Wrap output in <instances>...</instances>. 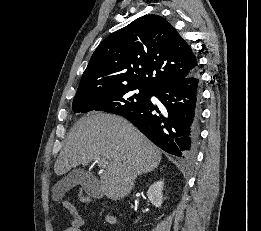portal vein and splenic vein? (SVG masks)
I'll use <instances>...</instances> for the list:
<instances>
[{"mask_svg": "<svg viewBox=\"0 0 261 231\" xmlns=\"http://www.w3.org/2000/svg\"><path fill=\"white\" fill-rule=\"evenodd\" d=\"M106 164H107V162H106L105 159H99V160H98V165H99L100 167L105 168V167H106Z\"/></svg>", "mask_w": 261, "mask_h": 231, "instance_id": "obj_1", "label": "portal vein and splenic vein"}]
</instances>
